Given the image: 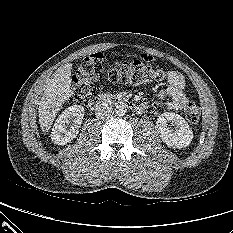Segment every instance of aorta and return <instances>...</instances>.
<instances>
[{
    "label": "aorta",
    "instance_id": "762f6f07",
    "mask_svg": "<svg viewBox=\"0 0 233 233\" xmlns=\"http://www.w3.org/2000/svg\"><path fill=\"white\" fill-rule=\"evenodd\" d=\"M127 112L126 105L124 103L117 104L115 107V113L118 116H123Z\"/></svg>",
    "mask_w": 233,
    "mask_h": 233
}]
</instances>
